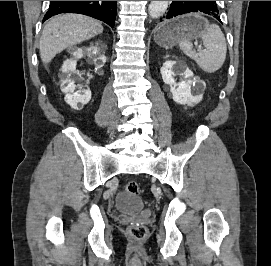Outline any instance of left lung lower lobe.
Returning a JSON list of instances; mask_svg holds the SVG:
<instances>
[{"label":"left lung lower lobe","instance_id":"1","mask_svg":"<svg viewBox=\"0 0 271 266\" xmlns=\"http://www.w3.org/2000/svg\"><path fill=\"white\" fill-rule=\"evenodd\" d=\"M197 11L209 14L221 22L216 1H172L169 11L162 19H170L178 15Z\"/></svg>","mask_w":271,"mask_h":266}]
</instances>
